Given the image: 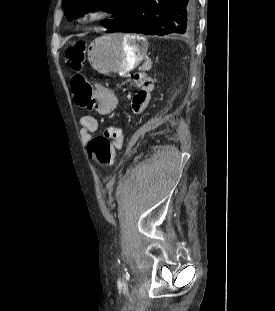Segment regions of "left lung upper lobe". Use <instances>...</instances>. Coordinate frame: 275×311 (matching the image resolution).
<instances>
[{
	"mask_svg": "<svg viewBox=\"0 0 275 311\" xmlns=\"http://www.w3.org/2000/svg\"><path fill=\"white\" fill-rule=\"evenodd\" d=\"M142 0H63L66 17L69 21L91 8H108L106 12L114 13L115 19L106 22L108 31H116L136 17Z\"/></svg>",
	"mask_w": 275,
	"mask_h": 311,
	"instance_id": "obj_1",
	"label": "left lung upper lobe"
}]
</instances>
